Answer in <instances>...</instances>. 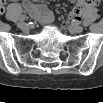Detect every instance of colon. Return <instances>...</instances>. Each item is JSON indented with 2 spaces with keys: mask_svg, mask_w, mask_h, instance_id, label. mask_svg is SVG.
<instances>
[{
  "mask_svg": "<svg viewBox=\"0 0 103 103\" xmlns=\"http://www.w3.org/2000/svg\"><path fill=\"white\" fill-rule=\"evenodd\" d=\"M99 5V1L97 0H84V1H80L74 8L73 10V15L74 16H79L82 9L86 6H98ZM2 11V10H1Z\"/></svg>",
  "mask_w": 103,
  "mask_h": 103,
  "instance_id": "obj_1",
  "label": "colon"
}]
</instances>
